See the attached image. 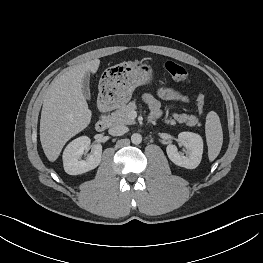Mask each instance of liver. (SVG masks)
Wrapping results in <instances>:
<instances>
[{"mask_svg":"<svg viewBox=\"0 0 263 263\" xmlns=\"http://www.w3.org/2000/svg\"><path fill=\"white\" fill-rule=\"evenodd\" d=\"M99 65L95 59L71 67L49 86L40 119V141L49 161L54 162L66 142L90 124L92 112L82 83L86 73H96Z\"/></svg>","mask_w":263,"mask_h":263,"instance_id":"liver-1","label":"liver"}]
</instances>
